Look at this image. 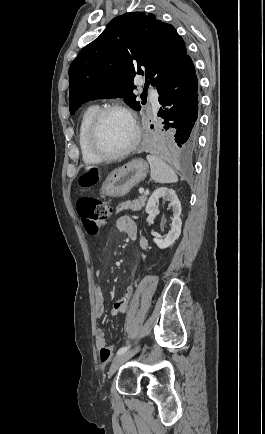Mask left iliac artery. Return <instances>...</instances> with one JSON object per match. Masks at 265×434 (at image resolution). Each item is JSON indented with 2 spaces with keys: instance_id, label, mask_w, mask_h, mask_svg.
<instances>
[{
  "instance_id": "obj_1",
  "label": "left iliac artery",
  "mask_w": 265,
  "mask_h": 434,
  "mask_svg": "<svg viewBox=\"0 0 265 434\" xmlns=\"http://www.w3.org/2000/svg\"><path fill=\"white\" fill-rule=\"evenodd\" d=\"M129 348H130V345H128V346H124V347H121V348L117 351V355H120V354L125 353Z\"/></svg>"
}]
</instances>
